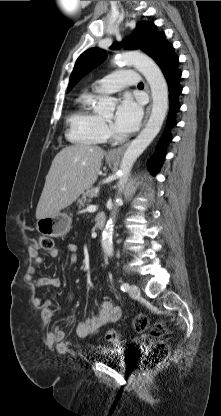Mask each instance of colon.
Masks as SVG:
<instances>
[{
  "label": "colon",
  "mask_w": 221,
  "mask_h": 416,
  "mask_svg": "<svg viewBox=\"0 0 221 416\" xmlns=\"http://www.w3.org/2000/svg\"><path fill=\"white\" fill-rule=\"evenodd\" d=\"M39 247L45 251H52L54 249V240L48 236H41L39 238ZM148 318L144 314H139L134 319V328L138 332H143L148 328ZM166 328L162 322H158L153 326V332L156 334L165 332ZM106 339L109 342H117L118 334L115 330L110 329L106 332ZM169 347L163 340L154 341L146 354L144 359V367L146 369L157 368L168 356Z\"/></svg>",
  "instance_id": "1"
}]
</instances>
